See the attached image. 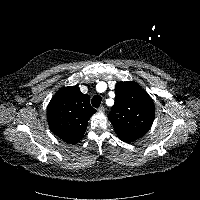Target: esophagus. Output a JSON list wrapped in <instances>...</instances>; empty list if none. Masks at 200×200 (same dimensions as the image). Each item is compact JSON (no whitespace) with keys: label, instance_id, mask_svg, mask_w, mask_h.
Instances as JSON below:
<instances>
[{"label":"esophagus","instance_id":"esophagus-1","mask_svg":"<svg viewBox=\"0 0 200 200\" xmlns=\"http://www.w3.org/2000/svg\"><path fill=\"white\" fill-rule=\"evenodd\" d=\"M98 111L101 112V113H103V112L105 111L104 106H100V107L98 108Z\"/></svg>","mask_w":200,"mask_h":200}]
</instances>
